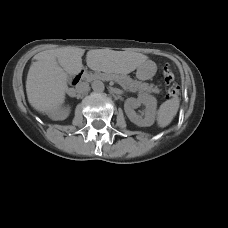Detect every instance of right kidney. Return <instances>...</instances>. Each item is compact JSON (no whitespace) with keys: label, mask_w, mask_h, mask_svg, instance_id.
I'll return each instance as SVG.
<instances>
[{"label":"right kidney","mask_w":228,"mask_h":228,"mask_svg":"<svg viewBox=\"0 0 228 228\" xmlns=\"http://www.w3.org/2000/svg\"><path fill=\"white\" fill-rule=\"evenodd\" d=\"M68 115H69V108H63L58 110L55 113L50 114V117L53 120H64L67 118Z\"/></svg>","instance_id":"right-kidney-1"}]
</instances>
